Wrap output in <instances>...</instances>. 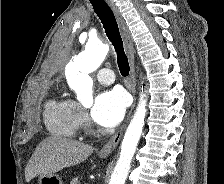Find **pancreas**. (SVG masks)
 Listing matches in <instances>:
<instances>
[{"label": "pancreas", "instance_id": "cf45deb5", "mask_svg": "<svg viewBox=\"0 0 224 184\" xmlns=\"http://www.w3.org/2000/svg\"><path fill=\"white\" fill-rule=\"evenodd\" d=\"M70 184H80V182L78 181V178H74Z\"/></svg>", "mask_w": 224, "mask_h": 184}]
</instances>
